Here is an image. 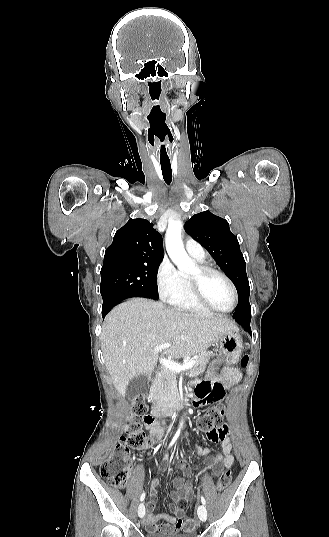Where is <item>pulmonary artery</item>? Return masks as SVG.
<instances>
[{"mask_svg": "<svg viewBox=\"0 0 329 537\" xmlns=\"http://www.w3.org/2000/svg\"><path fill=\"white\" fill-rule=\"evenodd\" d=\"M186 251L193 257L202 260L205 256L203 247L195 240L188 239L185 242Z\"/></svg>", "mask_w": 329, "mask_h": 537, "instance_id": "pulmonary-artery-1", "label": "pulmonary artery"}]
</instances>
